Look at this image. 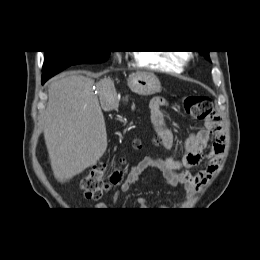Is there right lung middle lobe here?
<instances>
[{
  "label": "right lung middle lobe",
  "mask_w": 260,
  "mask_h": 260,
  "mask_svg": "<svg viewBox=\"0 0 260 260\" xmlns=\"http://www.w3.org/2000/svg\"><path fill=\"white\" fill-rule=\"evenodd\" d=\"M110 51H45L42 77L50 78L65 68L80 63H101Z\"/></svg>",
  "instance_id": "right-lung-middle-lobe-1"
}]
</instances>
